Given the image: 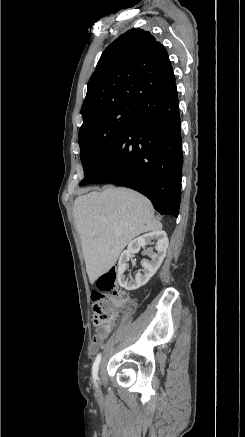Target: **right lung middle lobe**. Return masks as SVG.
I'll return each mask as SVG.
<instances>
[{
	"instance_id": "obj_1",
	"label": "right lung middle lobe",
	"mask_w": 245,
	"mask_h": 437,
	"mask_svg": "<svg viewBox=\"0 0 245 437\" xmlns=\"http://www.w3.org/2000/svg\"><path fill=\"white\" fill-rule=\"evenodd\" d=\"M135 109V104H112L97 110L83 120L78 134L80 159L85 177L81 184L116 147Z\"/></svg>"
}]
</instances>
